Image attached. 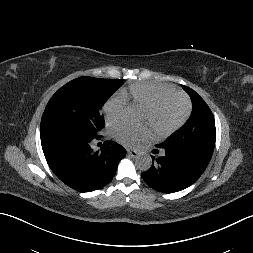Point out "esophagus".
<instances>
[{
  "label": "esophagus",
  "instance_id": "34e87169",
  "mask_svg": "<svg viewBox=\"0 0 253 253\" xmlns=\"http://www.w3.org/2000/svg\"><path fill=\"white\" fill-rule=\"evenodd\" d=\"M127 152H128V155L133 157V158L138 156V152L136 150L128 149Z\"/></svg>",
  "mask_w": 253,
  "mask_h": 253
}]
</instances>
